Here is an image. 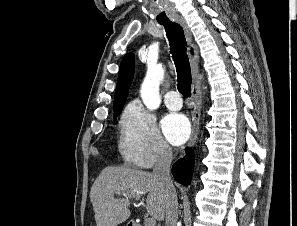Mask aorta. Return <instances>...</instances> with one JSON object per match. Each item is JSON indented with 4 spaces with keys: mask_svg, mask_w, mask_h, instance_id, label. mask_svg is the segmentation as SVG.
I'll use <instances>...</instances> for the list:
<instances>
[{
    "mask_svg": "<svg viewBox=\"0 0 297 226\" xmlns=\"http://www.w3.org/2000/svg\"><path fill=\"white\" fill-rule=\"evenodd\" d=\"M165 70L162 65L148 68L146 77L141 86V98L149 110H156L161 103L159 85L164 78Z\"/></svg>",
    "mask_w": 297,
    "mask_h": 226,
    "instance_id": "obj_1",
    "label": "aorta"
}]
</instances>
